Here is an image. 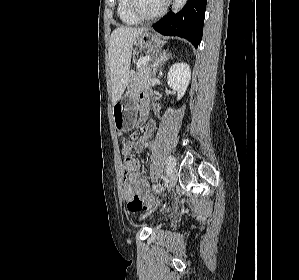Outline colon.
I'll list each match as a JSON object with an SVG mask.
<instances>
[{
  "instance_id": "obj_1",
  "label": "colon",
  "mask_w": 299,
  "mask_h": 280,
  "mask_svg": "<svg viewBox=\"0 0 299 280\" xmlns=\"http://www.w3.org/2000/svg\"><path fill=\"white\" fill-rule=\"evenodd\" d=\"M131 147V141H126L124 143V161H123V176L135 172L139 168V162L129 154V150ZM149 207L147 201L140 199L139 197H135L132 200L127 202V208L131 212H137L142 209H146Z\"/></svg>"
}]
</instances>
